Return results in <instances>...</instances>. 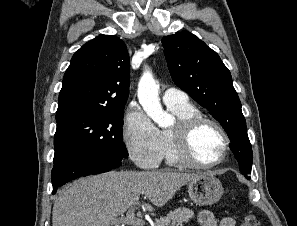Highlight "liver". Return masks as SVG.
Wrapping results in <instances>:
<instances>
[{
  "label": "liver",
  "mask_w": 297,
  "mask_h": 226,
  "mask_svg": "<svg viewBox=\"0 0 297 226\" xmlns=\"http://www.w3.org/2000/svg\"><path fill=\"white\" fill-rule=\"evenodd\" d=\"M204 174L164 171H112L80 178L59 192L52 211V226H112L144 194L163 207L186 183ZM147 203L143 207L153 211Z\"/></svg>",
  "instance_id": "6515ba94"
}]
</instances>
